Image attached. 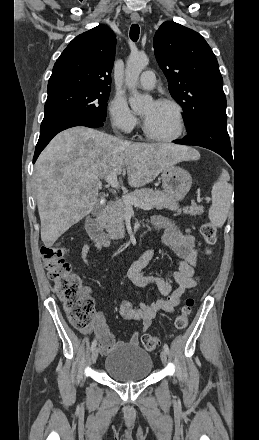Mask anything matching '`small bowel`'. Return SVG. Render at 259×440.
Instances as JSON below:
<instances>
[{"instance_id": "c3829d8e", "label": "small bowel", "mask_w": 259, "mask_h": 440, "mask_svg": "<svg viewBox=\"0 0 259 440\" xmlns=\"http://www.w3.org/2000/svg\"><path fill=\"white\" fill-rule=\"evenodd\" d=\"M152 221L158 227L165 228L162 244L174 255L175 268L168 279L157 275H143L142 270L153 260L156 254L155 249H149L130 266L124 276L123 283H132L142 288L155 286L164 296L163 299L152 303L140 302L137 306L129 300H124L121 303L119 308L120 316L126 320L141 322L143 331L150 327L153 319L159 312L171 313L181 303L182 296L186 290L195 287L199 279L196 275L199 253L195 246V238L190 231L181 230L174 221L162 216H155L152 218ZM109 244L95 241V246L98 250L108 247ZM89 250L90 246L87 243L83 244L78 250L79 256L87 265L91 264L88 257ZM174 284L176 288H174ZM83 333L96 335L99 350L103 354L123 344V342L115 340L101 313L95 317L89 328L83 330ZM139 341L140 333L135 331L129 340V344L137 346Z\"/></svg>"}]
</instances>
